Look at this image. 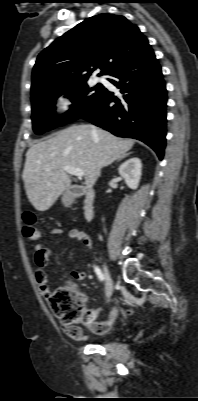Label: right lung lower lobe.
<instances>
[{"label":"right lung lower lobe","mask_w":198,"mask_h":401,"mask_svg":"<svg viewBox=\"0 0 198 401\" xmlns=\"http://www.w3.org/2000/svg\"><path fill=\"white\" fill-rule=\"evenodd\" d=\"M109 81L120 89H104L92 109L81 118L116 136L145 142L163 158L167 92L161 67L150 45L113 71Z\"/></svg>","instance_id":"right-lung-lower-lobe-1"}]
</instances>
